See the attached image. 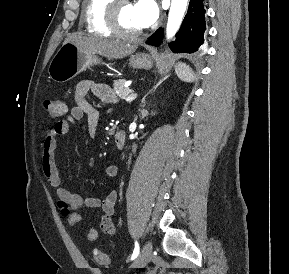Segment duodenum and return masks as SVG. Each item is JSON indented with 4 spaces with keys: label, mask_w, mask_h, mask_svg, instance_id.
I'll list each match as a JSON object with an SVG mask.
<instances>
[{
    "label": "duodenum",
    "mask_w": 289,
    "mask_h": 274,
    "mask_svg": "<svg viewBox=\"0 0 289 274\" xmlns=\"http://www.w3.org/2000/svg\"><path fill=\"white\" fill-rule=\"evenodd\" d=\"M115 145L118 149H123L126 144V134L123 130H118L114 135Z\"/></svg>",
    "instance_id": "1"
}]
</instances>
